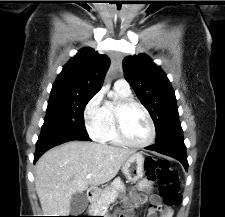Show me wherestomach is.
Listing matches in <instances>:
<instances>
[{"label":"stomach","instance_id":"0dacf381","mask_svg":"<svg viewBox=\"0 0 225 217\" xmlns=\"http://www.w3.org/2000/svg\"><path fill=\"white\" fill-rule=\"evenodd\" d=\"M145 158L141 153H134L122 165V172L126 178L136 182L144 175Z\"/></svg>","mask_w":225,"mask_h":217}]
</instances>
